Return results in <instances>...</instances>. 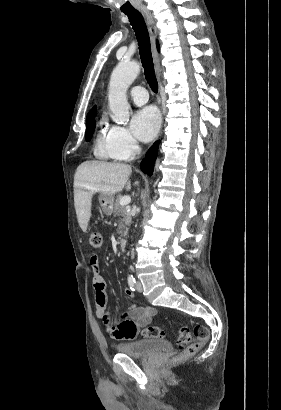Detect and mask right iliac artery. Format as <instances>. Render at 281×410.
I'll return each mask as SVG.
<instances>
[{"label":"right iliac artery","mask_w":281,"mask_h":410,"mask_svg":"<svg viewBox=\"0 0 281 410\" xmlns=\"http://www.w3.org/2000/svg\"><path fill=\"white\" fill-rule=\"evenodd\" d=\"M128 284H129L131 290L134 291L135 286H136V280L132 275L128 277Z\"/></svg>","instance_id":"right-iliac-artery-1"}]
</instances>
